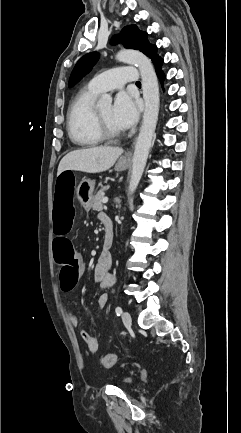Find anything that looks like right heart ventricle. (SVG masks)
Here are the masks:
<instances>
[{"label": "right heart ventricle", "instance_id": "e07e8e85", "mask_svg": "<svg viewBox=\"0 0 241 433\" xmlns=\"http://www.w3.org/2000/svg\"><path fill=\"white\" fill-rule=\"evenodd\" d=\"M97 93L83 88L74 98L67 119L71 141L81 147L99 145L103 139L99 135L94 120V100Z\"/></svg>", "mask_w": 241, "mask_h": 433}]
</instances>
